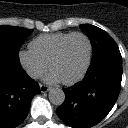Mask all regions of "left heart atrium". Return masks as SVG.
I'll return each mask as SVG.
<instances>
[{
    "mask_svg": "<svg viewBox=\"0 0 128 128\" xmlns=\"http://www.w3.org/2000/svg\"><path fill=\"white\" fill-rule=\"evenodd\" d=\"M45 80L48 83L61 82V80L58 78V76L54 72H52V71L45 77Z\"/></svg>",
    "mask_w": 128,
    "mask_h": 128,
    "instance_id": "left-heart-atrium-1",
    "label": "left heart atrium"
}]
</instances>
